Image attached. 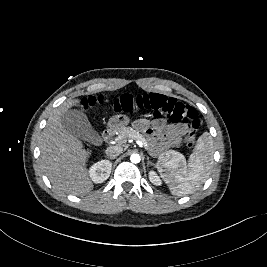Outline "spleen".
I'll return each instance as SVG.
<instances>
[{
	"label": "spleen",
	"instance_id": "3e777b00",
	"mask_svg": "<svg viewBox=\"0 0 267 267\" xmlns=\"http://www.w3.org/2000/svg\"><path fill=\"white\" fill-rule=\"evenodd\" d=\"M213 140L204 132L197 140L188 164L182 154L176 152L171 159H161L158 171L168 185L171 193L185 196L198 190L209 176L213 164Z\"/></svg>",
	"mask_w": 267,
	"mask_h": 267
}]
</instances>
